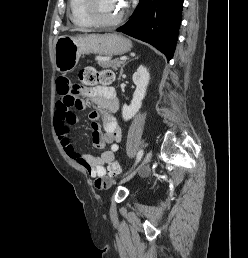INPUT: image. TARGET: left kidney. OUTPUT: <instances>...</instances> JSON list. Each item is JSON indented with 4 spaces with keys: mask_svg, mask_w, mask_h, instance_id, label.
<instances>
[{
    "mask_svg": "<svg viewBox=\"0 0 248 258\" xmlns=\"http://www.w3.org/2000/svg\"><path fill=\"white\" fill-rule=\"evenodd\" d=\"M133 83L136 85V90L133 94L131 104H126L122 107V117L124 121L133 118L142 106V100L146 95V89L150 80V75L146 67L139 66L132 77Z\"/></svg>",
    "mask_w": 248,
    "mask_h": 258,
    "instance_id": "5707ae66",
    "label": "left kidney"
}]
</instances>
